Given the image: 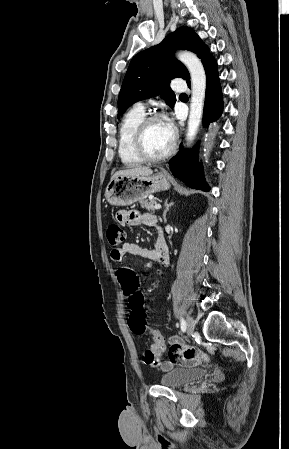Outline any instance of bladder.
<instances>
[{
    "label": "bladder",
    "mask_w": 289,
    "mask_h": 449,
    "mask_svg": "<svg viewBox=\"0 0 289 449\" xmlns=\"http://www.w3.org/2000/svg\"><path fill=\"white\" fill-rule=\"evenodd\" d=\"M206 374L202 368H174L162 375L161 385L180 388L201 379Z\"/></svg>",
    "instance_id": "31cf9c89"
}]
</instances>
